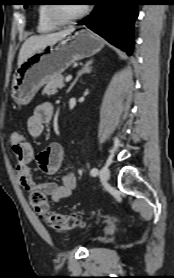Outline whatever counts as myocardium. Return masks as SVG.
<instances>
[{
	"label": "myocardium",
	"mask_w": 174,
	"mask_h": 278,
	"mask_svg": "<svg viewBox=\"0 0 174 278\" xmlns=\"http://www.w3.org/2000/svg\"><path fill=\"white\" fill-rule=\"evenodd\" d=\"M60 7L61 6L56 4H50L47 9L49 19L58 26L70 24L83 18L88 13L89 10L88 6H83L81 11L78 12L77 14L73 16H64L60 12Z\"/></svg>",
	"instance_id": "f54148a6"
}]
</instances>
